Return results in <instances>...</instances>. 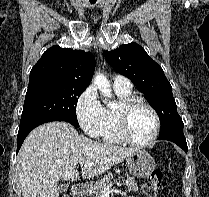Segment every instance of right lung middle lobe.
<instances>
[{
	"instance_id": "dd1d6c3e",
	"label": "right lung middle lobe",
	"mask_w": 209,
	"mask_h": 197,
	"mask_svg": "<svg viewBox=\"0 0 209 197\" xmlns=\"http://www.w3.org/2000/svg\"><path fill=\"white\" fill-rule=\"evenodd\" d=\"M86 88L71 82H29L20 127L47 119H60L79 127L76 105Z\"/></svg>"
}]
</instances>
